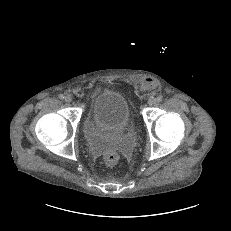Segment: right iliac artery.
Listing matches in <instances>:
<instances>
[{
  "instance_id": "right-iliac-artery-1",
  "label": "right iliac artery",
  "mask_w": 231,
  "mask_h": 231,
  "mask_svg": "<svg viewBox=\"0 0 231 231\" xmlns=\"http://www.w3.org/2000/svg\"><path fill=\"white\" fill-rule=\"evenodd\" d=\"M59 98H60V99H64V95H63V94H60V95H59Z\"/></svg>"
}]
</instances>
